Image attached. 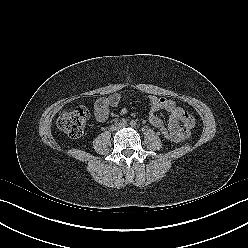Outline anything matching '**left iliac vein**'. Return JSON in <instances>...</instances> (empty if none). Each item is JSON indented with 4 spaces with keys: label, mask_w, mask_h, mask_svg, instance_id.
Here are the masks:
<instances>
[{
    "label": "left iliac vein",
    "mask_w": 248,
    "mask_h": 248,
    "mask_svg": "<svg viewBox=\"0 0 248 248\" xmlns=\"http://www.w3.org/2000/svg\"><path fill=\"white\" fill-rule=\"evenodd\" d=\"M120 126H121V127H126V126H127V124H121Z\"/></svg>",
    "instance_id": "4c4485c4"
}]
</instances>
